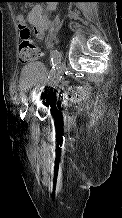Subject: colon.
<instances>
[{"instance_id": "obj_1", "label": "colon", "mask_w": 122, "mask_h": 218, "mask_svg": "<svg viewBox=\"0 0 122 218\" xmlns=\"http://www.w3.org/2000/svg\"><path fill=\"white\" fill-rule=\"evenodd\" d=\"M20 32V47L19 58L22 62H28L34 60L38 56V49L34 44L30 28L25 22L19 24ZM90 95V87L88 85H79L70 87L65 92V99L70 102L82 101L88 98Z\"/></svg>"}]
</instances>
